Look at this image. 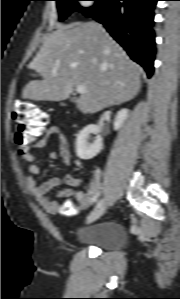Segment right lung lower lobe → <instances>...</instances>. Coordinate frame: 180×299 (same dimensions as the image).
Returning <instances> with one entry per match:
<instances>
[{
	"mask_svg": "<svg viewBox=\"0 0 180 299\" xmlns=\"http://www.w3.org/2000/svg\"><path fill=\"white\" fill-rule=\"evenodd\" d=\"M158 0H103L84 13L102 23L110 35L143 66L147 76L153 73L155 35L152 30Z\"/></svg>",
	"mask_w": 180,
	"mask_h": 299,
	"instance_id": "98d812e1",
	"label": "right lung lower lobe"
}]
</instances>
